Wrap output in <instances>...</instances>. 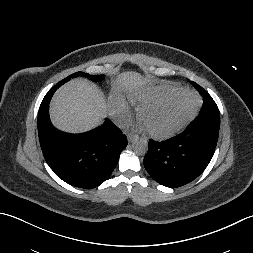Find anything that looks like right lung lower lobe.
Wrapping results in <instances>:
<instances>
[{
    "mask_svg": "<svg viewBox=\"0 0 253 253\" xmlns=\"http://www.w3.org/2000/svg\"><path fill=\"white\" fill-rule=\"evenodd\" d=\"M54 86L44 97L38 113V135L44 158L53 172L66 183L91 189L112 173L120 153L127 146L126 136L108 119L98 130L66 134L56 130L49 118Z\"/></svg>",
    "mask_w": 253,
    "mask_h": 253,
    "instance_id": "obj_1",
    "label": "right lung lower lobe"
}]
</instances>
